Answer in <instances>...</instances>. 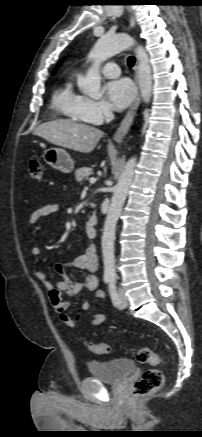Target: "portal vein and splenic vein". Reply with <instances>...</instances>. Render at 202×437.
Here are the masks:
<instances>
[{"instance_id":"obj_1","label":"portal vein and splenic vein","mask_w":202,"mask_h":437,"mask_svg":"<svg viewBox=\"0 0 202 437\" xmlns=\"http://www.w3.org/2000/svg\"><path fill=\"white\" fill-rule=\"evenodd\" d=\"M89 182L90 183H95L96 182V178H94V177L90 178Z\"/></svg>"}]
</instances>
